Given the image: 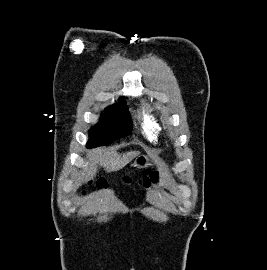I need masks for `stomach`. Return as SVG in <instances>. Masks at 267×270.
<instances>
[{
	"label": "stomach",
	"instance_id": "stomach-1",
	"mask_svg": "<svg viewBox=\"0 0 267 270\" xmlns=\"http://www.w3.org/2000/svg\"><path fill=\"white\" fill-rule=\"evenodd\" d=\"M150 165V160L147 156L140 155L134 160L133 166L136 168H146Z\"/></svg>",
	"mask_w": 267,
	"mask_h": 270
}]
</instances>
